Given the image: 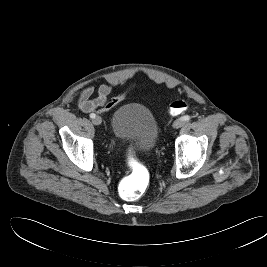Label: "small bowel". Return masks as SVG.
<instances>
[{
  "instance_id": "1",
  "label": "small bowel",
  "mask_w": 267,
  "mask_h": 267,
  "mask_svg": "<svg viewBox=\"0 0 267 267\" xmlns=\"http://www.w3.org/2000/svg\"><path fill=\"white\" fill-rule=\"evenodd\" d=\"M112 91L113 87L111 84H102L97 90V96L93 98L94 87L89 85L85 87L79 95L78 108L85 114L96 111L100 114H105L123 101L127 94V92L124 91L110 98Z\"/></svg>"
}]
</instances>
